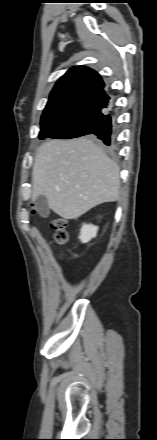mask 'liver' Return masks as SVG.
I'll return each instance as SVG.
<instances>
[{"instance_id":"1","label":"liver","mask_w":157,"mask_h":440,"mask_svg":"<svg viewBox=\"0 0 157 440\" xmlns=\"http://www.w3.org/2000/svg\"><path fill=\"white\" fill-rule=\"evenodd\" d=\"M119 166L92 141L52 140L37 152L32 199L43 195L60 217L76 219L120 196Z\"/></svg>"}]
</instances>
